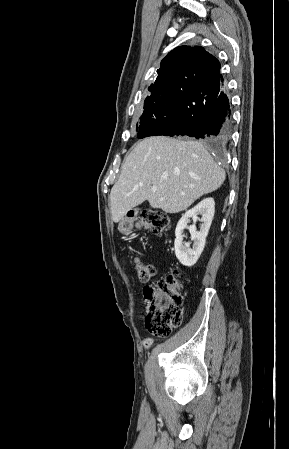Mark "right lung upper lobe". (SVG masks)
Masks as SVG:
<instances>
[{"instance_id":"cb5924a9","label":"right lung upper lobe","mask_w":289,"mask_h":449,"mask_svg":"<svg viewBox=\"0 0 289 449\" xmlns=\"http://www.w3.org/2000/svg\"><path fill=\"white\" fill-rule=\"evenodd\" d=\"M220 71V62L201 46H180L173 49L161 61L158 76L148 90L151 96L169 92L178 81L211 79Z\"/></svg>"}]
</instances>
